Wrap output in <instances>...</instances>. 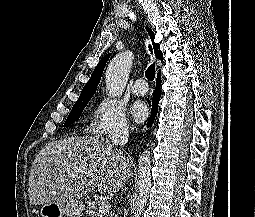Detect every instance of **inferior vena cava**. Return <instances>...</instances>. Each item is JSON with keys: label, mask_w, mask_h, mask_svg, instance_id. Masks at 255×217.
<instances>
[{"label": "inferior vena cava", "mask_w": 255, "mask_h": 217, "mask_svg": "<svg viewBox=\"0 0 255 217\" xmlns=\"http://www.w3.org/2000/svg\"><path fill=\"white\" fill-rule=\"evenodd\" d=\"M129 131L127 127H122L118 129L110 137L112 145L114 146H124L128 142Z\"/></svg>", "instance_id": "602c4592"}]
</instances>
